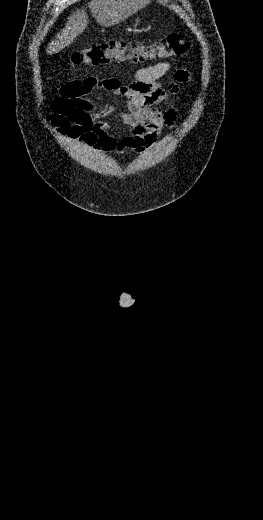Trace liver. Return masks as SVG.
Listing matches in <instances>:
<instances>
[{
    "label": "liver",
    "mask_w": 263,
    "mask_h": 520,
    "mask_svg": "<svg viewBox=\"0 0 263 520\" xmlns=\"http://www.w3.org/2000/svg\"><path fill=\"white\" fill-rule=\"evenodd\" d=\"M151 0H91L88 7L96 21L104 27H110L124 21L140 9L146 7ZM88 25L85 8L78 9L69 18L65 28L47 48L52 55L69 46Z\"/></svg>",
    "instance_id": "6515ba94"
}]
</instances>
